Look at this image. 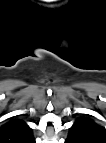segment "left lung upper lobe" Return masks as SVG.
Segmentation results:
<instances>
[{
	"mask_svg": "<svg viewBox=\"0 0 106 143\" xmlns=\"http://www.w3.org/2000/svg\"><path fill=\"white\" fill-rule=\"evenodd\" d=\"M69 135L79 143H106V129L90 118H78L70 128Z\"/></svg>",
	"mask_w": 106,
	"mask_h": 143,
	"instance_id": "1",
	"label": "left lung upper lobe"
}]
</instances>
